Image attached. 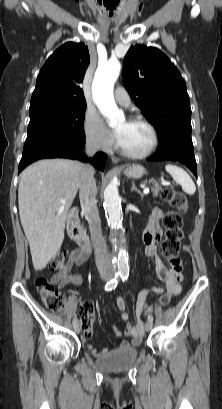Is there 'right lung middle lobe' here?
Masks as SVG:
<instances>
[{
    "mask_svg": "<svg viewBox=\"0 0 222 409\" xmlns=\"http://www.w3.org/2000/svg\"><path fill=\"white\" fill-rule=\"evenodd\" d=\"M86 103L47 104L29 109L23 156L37 151H71L85 142Z\"/></svg>",
    "mask_w": 222,
    "mask_h": 409,
    "instance_id": "obj_1",
    "label": "right lung middle lobe"
}]
</instances>
